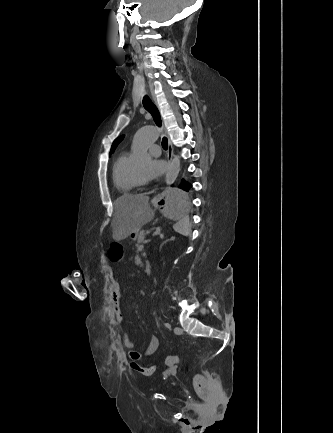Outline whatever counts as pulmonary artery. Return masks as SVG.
I'll list each match as a JSON object with an SVG mask.
<instances>
[{"label": "pulmonary artery", "mask_w": 333, "mask_h": 433, "mask_svg": "<svg viewBox=\"0 0 333 433\" xmlns=\"http://www.w3.org/2000/svg\"><path fill=\"white\" fill-rule=\"evenodd\" d=\"M149 152L153 155V156H159L161 154V148L159 145H151L149 148Z\"/></svg>", "instance_id": "e3ab8cb5"}]
</instances>
